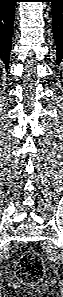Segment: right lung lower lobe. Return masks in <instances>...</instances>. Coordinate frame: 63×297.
<instances>
[{"instance_id": "right-lung-lower-lobe-1", "label": "right lung lower lobe", "mask_w": 63, "mask_h": 297, "mask_svg": "<svg viewBox=\"0 0 63 297\" xmlns=\"http://www.w3.org/2000/svg\"><path fill=\"white\" fill-rule=\"evenodd\" d=\"M17 0H0V60L9 66V55L12 46L13 21Z\"/></svg>"}]
</instances>
